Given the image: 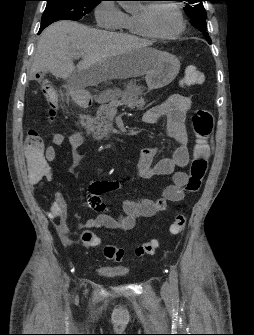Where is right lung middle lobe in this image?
<instances>
[{"label":"right lung middle lobe","instance_id":"dd1d6c3e","mask_svg":"<svg viewBox=\"0 0 254 335\" xmlns=\"http://www.w3.org/2000/svg\"><path fill=\"white\" fill-rule=\"evenodd\" d=\"M47 6L41 24L59 20H80L100 3L101 0H46Z\"/></svg>","mask_w":254,"mask_h":335}]
</instances>
